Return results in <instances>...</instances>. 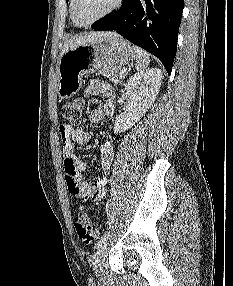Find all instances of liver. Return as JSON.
Instances as JSON below:
<instances>
[{"mask_svg": "<svg viewBox=\"0 0 233 286\" xmlns=\"http://www.w3.org/2000/svg\"><path fill=\"white\" fill-rule=\"evenodd\" d=\"M112 35H117L114 32H103V31H99V32H90L88 34L85 35H80V36H75L72 39H69L68 41L65 42L64 44V48L61 52L62 56L66 51H68L70 48L79 46V45H83L86 44L88 42H93L96 41L102 37H109Z\"/></svg>", "mask_w": 233, "mask_h": 286, "instance_id": "1", "label": "liver"}]
</instances>
